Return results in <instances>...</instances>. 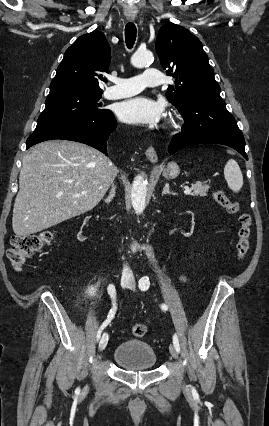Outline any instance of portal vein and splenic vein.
Masks as SVG:
<instances>
[{
  "label": "portal vein and splenic vein",
  "instance_id": "portal-vein-and-splenic-vein-1",
  "mask_svg": "<svg viewBox=\"0 0 269 426\" xmlns=\"http://www.w3.org/2000/svg\"><path fill=\"white\" fill-rule=\"evenodd\" d=\"M191 191H192V189H191V188H186V189H185V191H184V193H185V194H189V193H191ZM81 194H82V195H84V194H86V192L84 191V192H82Z\"/></svg>",
  "mask_w": 269,
  "mask_h": 426
}]
</instances>
